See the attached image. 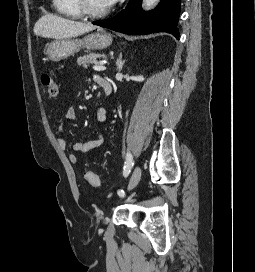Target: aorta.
Instances as JSON below:
<instances>
[{"label":"aorta","instance_id":"obj_1","mask_svg":"<svg viewBox=\"0 0 255 272\" xmlns=\"http://www.w3.org/2000/svg\"><path fill=\"white\" fill-rule=\"evenodd\" d=\"M158 0H143V4L145 8L152 7Z\"/></svg>","mask_w":255,"mask_h":272}]
</instances>
